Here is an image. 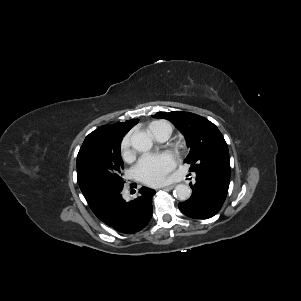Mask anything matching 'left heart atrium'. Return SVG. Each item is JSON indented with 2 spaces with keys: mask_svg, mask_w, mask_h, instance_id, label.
I'll list each match as a JSON object with an SVG mask.
<instances>
[{
  "mask_svg": "<svg viewBox=\"0 0 301 301\" xmlns=\"http://www.w3.org/2000/svg\"><path fill=\"white\" fill-rule=\"evenodd\" d=\"M176 166L177 159L170 152L146 154L134 167V175L144 184L157 186L166 182L168 175Z\"/></svg>",
  "mask_w": 301,
  "mask_h": 301,
  "instance_id": "left-heart-atrium-1",
  "label": "left heart atrium"
}]
</instances>
